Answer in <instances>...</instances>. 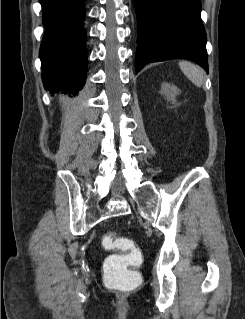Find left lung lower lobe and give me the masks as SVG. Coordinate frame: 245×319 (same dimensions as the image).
I'll list each match as a JSON object with an SVG mask.
<instances>
[{"label":"left lung lower lobe","instance_id":"obj_1","mask_svg":"<svg viewBox=\"0 0 245 319\" xmlns=\"http://www.w3.org/2000/svg\"><path fill=\"white\" fill-rule=\"evenodd\" d=\"M138 24L136 71L151 62L189 59L208 72L201 0H134Z\"/></svg>","mask_w":245,"mask_h":319}]
</instances>
